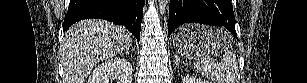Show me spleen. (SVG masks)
<instances>
[{
  "mask_svg": "<svg viewBox=\"0 0 307 83\" xmlns=\"http://www.w3.org/2000/svg\"><path fill=\"white\" fill-rule=\"evenodd\" d=\"M196 71L214 83H240L239 66L235 53L228 48L221 58L215 62L213 58L202 57L194 62Z\"/></svg>",
  "mask_w": 307,
  "mask_h": 83,
  "instance_id": "1",
  "label": "spleen"
}]
</instances>
